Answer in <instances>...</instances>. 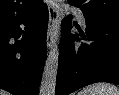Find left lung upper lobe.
Returning a JSON list of instances; mask_svg holds the SVG:
<instances>
[{"instance_id":"1","label":"left lung upper lobe","mask_w":119,"mask_h":95,"mask_svg":"<svg viewBox=\"0 0 119 95\" xmlns=\"http://www.w3.org/2000/svg\"><path fill=\"white\" fill-rule=\"evenodd\" d=\"M84 15L94 19L119 23V0H69Z\"/></svg>"}]
</instances>
